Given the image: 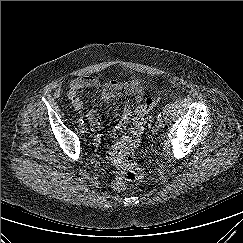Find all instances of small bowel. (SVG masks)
Returning a JSON list of instances; mask_svg holds the SVG:
<instances>
[{
  "label": "small bowel",
  "instance_id": "c3829d8e",
  "mask_svg": "<svg viewBox=\"0 0 243 243\" xmlns=\"http://www.w3.org/2000/svg\"><path fill=\"white\" fill-rule=\"evenodd\" d=\"M95 89L103 100L117 99L120 101L121 115L118 123L114 127V131H122L128 124L132 114L131 106L128 99L135 103H140L144 97L145 90L143 84L138 80L117 81L109 80L103 82L98 76H83L74 79L69 84L68 98L75 110H82L84 103L80 94L87 89ZM93 130L96 132L102 124L101 117L96 109L91 108L86 113ZM95 144L102 142V136L96 133L94 136Z\"/></svg>",
  "mask_w": 243,
  "mask_h": 243
}]
</instances>
